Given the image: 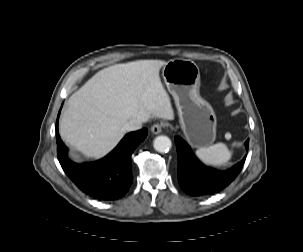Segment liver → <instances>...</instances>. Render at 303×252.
<instances>
[{
  "instance_id": "6515ba94",
  "label": "liver",
  "mask_w": 303,
  "mask_h": 252,
  "mask_svg": "<svg viewBox=\"0 0 303 252\" xmlns=\"http://www.w3.org/2000/svg\"><path fill=\"white\" fill-rule=\"evenodd\" d=\"M162 60L115 64L97 72L68 100L59 124L62 139L89 158H101L122 139L127 122L172 119L159 71Z\"/></svg>"
}]
</instances>
